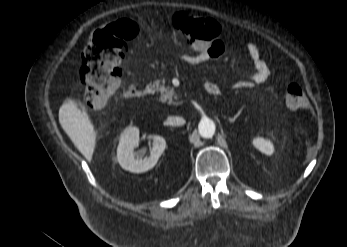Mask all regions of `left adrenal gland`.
Wrapping results in <instances>:
<instances>
[{
  "mask_svg": "<svg viewBox=\"0 0 347 247\" xmlns=\"http://www.w3.org/2000/svg\"><path fill=\"white\" fill-rule=\"evenodd\" d=\"M240 115V113H237L233 118L229 117L228 120L230 123L235 122V120L238 118V116Z\"/></svg>",
  "mask_w": 347,
  "mask_h": 247,
  "instance_id": "1",
  "label": "left adrenal gland"
}]
</instances>
